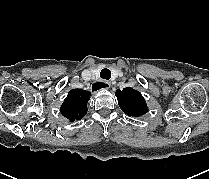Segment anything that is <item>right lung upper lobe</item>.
<instances>
[{
	"mask_svg": "<svg viewBox=\"0 0 209 179\" xmlns=\"http://www.w3.org/2000/svg\"><path fill=\"white\" fill-rule=\"evenodd\" d=\"M91 93L82 89H73L68 92L61 106V114L71 122L80 120L87 113V102Z\"/></svg>",
	"mask_w": 209,
	"mask_h": 179,
	"instance_id": "cb5924a9",
	"label": "right lung upper lobe"
}]
</instances>
